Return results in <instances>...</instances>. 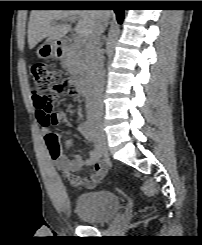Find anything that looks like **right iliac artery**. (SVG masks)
<instances>
[{"mask_svg":"<svg viewBox=\"0 0 202 245\" xmlns=\"http://www.w3.org/2000/svg\"><path fill=\"white\" fill-rule=\"evenodd\" d=\"M83 128L85 129V131L91 136V138L96 142V148L99 152V155H102V145L97 141L98 135L95 132L92 124L90 123L89 120H85L82 123Z\"/></svg>","mask_w":202,"mask_h":245,"instance_id":"1","label":"right iliac artery"}]
</instances>
